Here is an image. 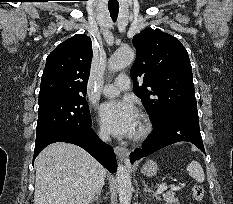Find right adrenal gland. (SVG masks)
<instances>
[{
	"instance_id": "right-adrenal-gland-1",
	"label": "right adrenal gland",
	"mask_w": 233,
	"mask_h": 204,
	"mask_svg": "<svg viewBox=\"0 0 233 204\" xmlns=\"http://www.w3.org/2000/svg\"><path fill=\"white\" fill-rule=\"evenodd\" d=\"M103 191V186L101 187V189L96 193L95 197L92 199L91 201V204L94 202V201H99V196L101 195V192Z\"/></svg>"
}]
</instances>
